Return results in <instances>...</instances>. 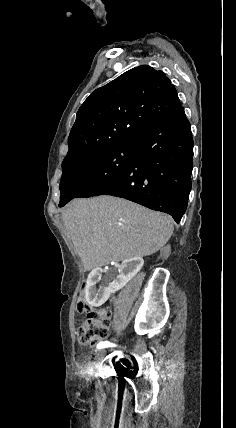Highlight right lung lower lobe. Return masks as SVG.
I'll return each mask as SVG.
<instances>
[{
    "label": "right lung lower lobe",
    "instance_id": "obj_1",
    "mask_svg": "<svg viewBox=\"0 0 236 428\" xmlns=\"http://www.w3.org/2000/svg\"><path fill=\"white\" fill-rule=\"evenodd\" d=\"M128 167L93 196L112 195L170 214L178 223L191 190L193 139L181 106L136 139Z\"/></svg>",
    "mask_w": 236,
    "mask_h": 428
}]
</instances>
